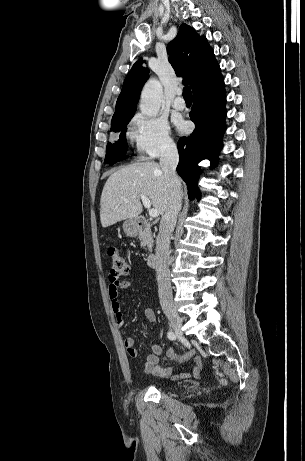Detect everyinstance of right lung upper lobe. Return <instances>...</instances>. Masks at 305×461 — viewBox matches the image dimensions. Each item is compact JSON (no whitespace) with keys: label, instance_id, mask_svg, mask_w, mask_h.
Returning <instances> with one entry per match:
<instances>
[{"label":"right lung upper lobe","instance_id":"obj_1","mask_svg":"<svg viewBox=\"0 0 305 461\" xmlns=\"http://www.w3.org/2000/svg\"><path fill=\"white\" fill-rule=\"evenodd\" d=\"M167 53L176 74L187 75L183 79V84L190 85L192 91L220 73V67L207 39L204 36L200 37L187 24L180 26L177 36L168 44ZM145 63L143 59L136 61L126 76L116 102L111 127L133 117L142 86L148 78L149 70Z\"/></svg>","mask_w":305,"mask_h":461}]
</instances>
